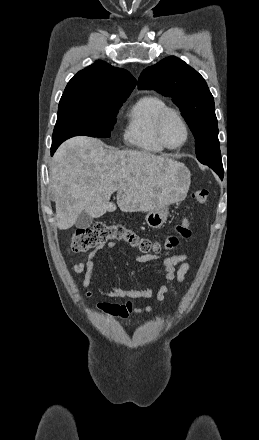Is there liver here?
<instances>
[{"label":"liver","instance_id":"1","mask_svg":"<svg viewBox=\"0 0 259 440\" xmlns=\"http://www.w3.org/2000/svg\"><path fill=\"white\" fill-rule=\"evenodd\" d=\"M189 173L183 164L146 151L105 149L101 140L74 137L56 151L50 168L57 227L71 228L85 211L92 218L116 210L147 212L180 201Z\"/></svg>","mask_w":259,"mask_h":440}]
</instances>
